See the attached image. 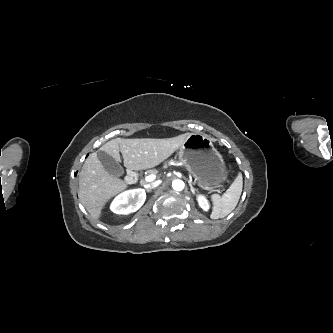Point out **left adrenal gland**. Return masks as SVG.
<instances>
[{
    "label": "left adrenal gland",
    "instance_id": "left-adrenal-gland-1",
    "mask_svg": "<svg viewBox=\"0 0 333 333\" xmlns=\"http://www.w3.org/2000/svg\"><path fill=\"white\" fill-rule=\"evenodd\" d=\"M188 183H189V186H190V190H191V192H192L193 194H195V191H196L197 189H195V188L193 187V185L191 184L190 181H189Z\"/></svg>",
    "mask_w": 333,
    "mask_h": 333
}]
</instances>
